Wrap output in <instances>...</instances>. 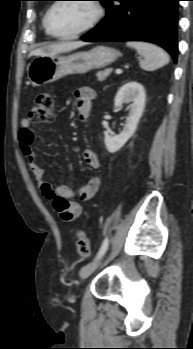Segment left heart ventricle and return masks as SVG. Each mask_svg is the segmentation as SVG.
<instances>
[{"label": "left heart ventricle", "mask_w": 193, "mask_h": 349, "mask_svg": "<svg viewBox=\"0 0 193 349\" xmlns=\"http://www.w3.org/2000/svg\"><path fill=\"white\" fill-rule=\"evenodd\" d=\"M95 16L90 2H64L58 4L51 13L50 25L59 35H68L87 26Z\"/></svg>", "instance_id": "obj_1"}]
</instances>
